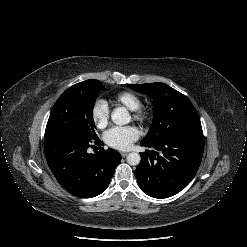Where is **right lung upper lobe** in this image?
Wrapping results in <instances>:
<instances>
[{
  "label": "right lung upper lobe",
  "mask_w": 247,
  "mask_h": 247,
  "mask_svg": "<svg viewBox=\"0 0 247 247\" xmlns=\"http://www.w3.org/2000/svg\"><path fill=\"white\" fill-rule=\"evenodd\" d=\"M88 81H90V80H86V81H84V82H88Z\"/></svg>",
  "instance_id": "right-lung-upper-lobe-1"
}]
</instances>
